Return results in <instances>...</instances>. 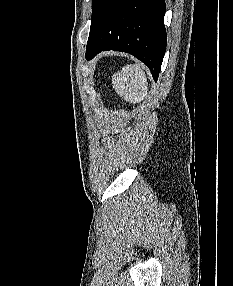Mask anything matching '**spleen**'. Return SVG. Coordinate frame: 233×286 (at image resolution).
<instances>
[{
  "mask_svg": "<svg viewBox=\"0 0 233 286\" xmlns=\"http://www.w3.org/2000/svg\"><path fill=\"white\" fill-rule=\"evenodd\" d=\"M145 66L140 62L126 65L112 76L116 93L128 103H140L148 94V83L144 73Z\"/></svg>",
  "mask_w": 233,
  "mask_h": 286,
  "instance_id": "spleen-1",
  "label": "spleen"
}]
</instances>
